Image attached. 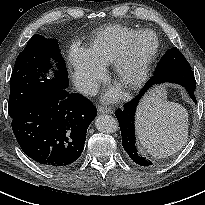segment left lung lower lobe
I'll use <instances>...</instances> for the list:
<instances>
[{
  "label": "left lung lower lobe",
  "instance_id": "1",
  "mask_svg": "<svg viewBox=\"0 0 205 205\" xmlns=\"http://www.w3.org/2000/svg\"><path fill=\"white\" fill-rule=\"evenodd\" d=\"M164 82H172L185 87L190 98L196 103V98L194 95V90L196 88L194 73L191 69L180 70L165 73L159 76H153L133 100L126 103L123 109H118L115 112L120 125L123 148L128 153L129 157L140 166H150L152 165V162L144 158L136 149L134 133L135 113L139 102L147 90L153 85Z\"/></svg>",
  "mask_w": 205,
  "mask_h": 205
}]
</instances>
